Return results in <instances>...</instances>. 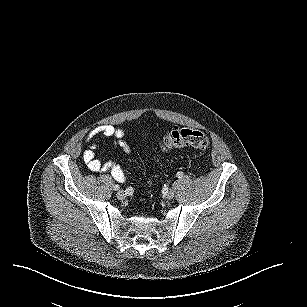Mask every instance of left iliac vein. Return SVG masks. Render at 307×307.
Returning <instances> with one entry per match:
<instances>
[{
	"label": "left iliac vein",
	"instance_id": "left-iliac-vein-1",
	"mask_svg": "<svg viewBox=\"0 0 307 307\" xmlns=\"http://www.w3.org/2000/svg\"><path fill=\"white\" fill-rule=\"evenodd\" d=\"M175 196V192L173 189H170L169 191H167L166 193V198L169 199V200H172Z\"/></svg>",
	"mask_w": 307,
	"mask_h": 307
}]
</instances>
